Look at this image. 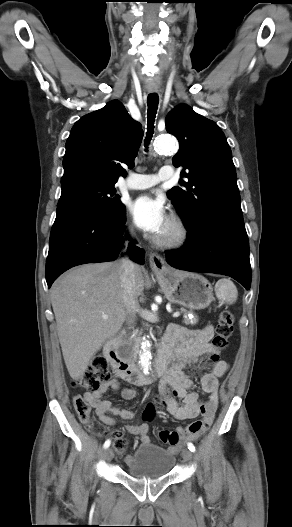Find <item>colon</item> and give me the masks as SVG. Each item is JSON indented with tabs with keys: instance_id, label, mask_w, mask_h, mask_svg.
<instances>
[{
	"instance_id": "colon-1",
	"label": "colon",
	"mask_w": 292,
	"mask_h": 527,
	"mask_svg": "<svg viewBox=\"0 0 292 527\" xmlns=\"http://www.w3.org/2000/svg\"><path fill=\"white\" fill-rule=\"evenodd\" d=\"M234 315L229 310L221 312L215 328V335L212 339V346L214 352L208 353L204 356L202 364L191 369L190 375L196 376L199 371L207 367H213L219 361V352L225 350L229 343V338L233 333ZM110 380V371L108 361L103 357H98L86 367L81 377H79L75 384L90 392L97 391L102 384ZM74 409L81 422L86 424L88 428H92L91 423V408L88 401L82 396L77 395L73 398ZM164 405V397L162 394L158 395L155 400L148 404L143 417L146 420H151L156 412ZM105 433L104 430H102ZM113 438V446L115 450L122 453L127 448V440L120 430H113L110 432Z\"/></svg>"
}]
</instances>
